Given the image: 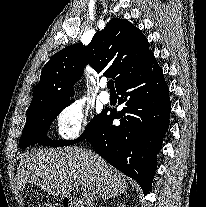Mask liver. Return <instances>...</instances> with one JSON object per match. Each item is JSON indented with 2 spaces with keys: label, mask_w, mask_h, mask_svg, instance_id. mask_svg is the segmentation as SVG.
<instances>
[{
  "label": "liver",
  "mask_w": 206,
  "mask_h": 207,
  "mask_svg": "<svg viewBox=\"0 0 206 207\" xmlns=\"http://www.w3.org/2000/svg\"><path fill=\"white\" fill-rule=\"evenodd\" d=\"M17 181L21 190L34 183L56 197H69L76 183L87 205L121 195L127 189L121 172L94 152L79 147L33 150L21 158Z\"/></svg>",
  "instance_id": "6515ba94"
}]
</instances>
